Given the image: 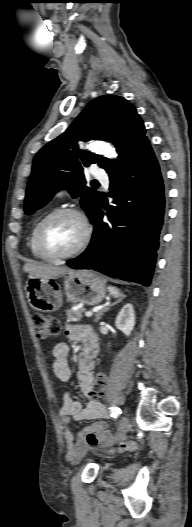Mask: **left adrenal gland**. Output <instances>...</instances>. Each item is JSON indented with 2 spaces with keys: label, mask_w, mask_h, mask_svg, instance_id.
I'll return each instance as SVG.
<instances>
[{
  "label": "left adrenal gland",
  "mask_w": 192,
  "mask_h": 527,
  "mask_svg": "<svg viewBox=\"0 0 192 527\" xmlns=\"http://www.w3.org/2000/svg\"><path fill=\"white\" fill-rule=\"evenodd\" d=\"M116 303H118V301H116V302H114V303H111V304H109L107 307H105V308H103L102 310H100V311L96 314L95 322L99 321V320L101 319V316L103 315V313H104L105 311H108V309H109L111 306L115 305Z\"/></svg>",
  "instance_id": "1"
}]
</instances>
